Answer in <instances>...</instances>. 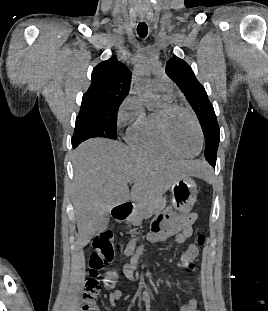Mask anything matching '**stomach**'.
<instances>
[{
  "instance_id": "obj_1",
  "label": "stomach",
  "mask_w": 268,
  "mask_h": 311,
  "mask_svg": "<svg viewBox=\"0 0 268 311\" xmlns=\"http://www.w3.org/2000/svg\"><path fill=\"white\" fill-rule=\"evenodd\" d=\"M196 187L195 181L190 176L181 178L172 184V203L179 212L190 211L196 201Z\"/></svg>"
}]
</instances>
